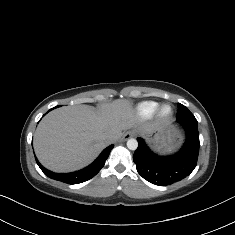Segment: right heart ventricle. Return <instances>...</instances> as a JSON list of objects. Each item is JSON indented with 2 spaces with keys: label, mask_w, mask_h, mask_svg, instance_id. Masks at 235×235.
I'll list each match as a JSON object with an SVG mask.
<instances>
[{
  "label": "right heart ventricle",
  "mask_w": 235,
  "mask_h": 235,
  "mask_svg": "<svg viewBox=\"0 0 235 235\" xmlns=\"http://www.w3.org/2000/svg\"><path fill=\"white\" fill-rule=\"evenodd\" d=\"M158 107L156 102H142L135 106H128L124 102H116L108 107V116L117 121L124 116H132L140 120H147L154 116Z\"/></svg>",
  "instance_id": "e07e8e85"
}]
</instances>
